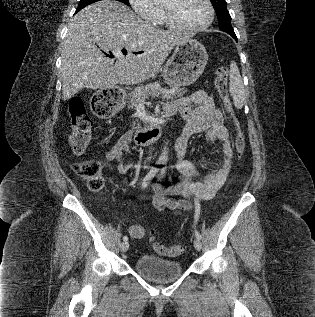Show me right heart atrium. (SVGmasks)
I'll return each instance as SVG.
<instances>
[{
    "label": "right heart atrium",
    "mask_w": 315,
    "mask_h": 317,
    "mask_svg": "<svg viewBox=\"0 0 315 317\" xmlns=\"http://www.w3.org/2000/svg\"><path fill=\"white\" fill-rule=\"evenodd\" d=\"M133 10L144 20L155 22L160 9L152 0H128Z\"/></svg>",
    "instance_id": "1"
}]
</instances>
